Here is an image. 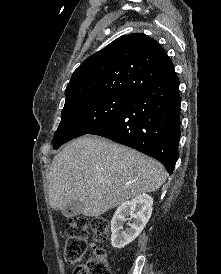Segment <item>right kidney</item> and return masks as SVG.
<instances>
[{
	"label": "right kidney",
	"mask_w": 221,
	"mask_h": 274,
	"mask_svg": "<svg viewBox=\"0 0 221 274\" xmlns=\"http://www.w3.org/2000/svg\"><path fill=\"white\" fill-rule=\"evenodd\" d=\"M152 205L153 198L143 193L117 208L111 220V244L114 248H124L140 234L151 217ZM127 220H132V223H128L129 228L123 231V223Z\"/></svg>",
	"instance_id": "1"
}]
</instances>
